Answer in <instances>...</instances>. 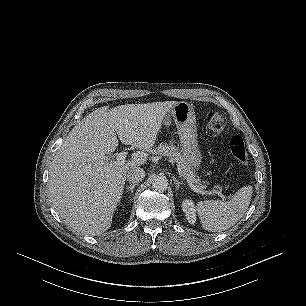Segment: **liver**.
I'll return each mask as SVG.
<instances>
[{
	"label": "liver",
	"instance_id": "1",
	"mask_svg": "<svg viewBox=\"0 0 306 306\" xmlns=\"http://www.w3.org/2000/svg\"><path fill=\"white\" fill-rule=\"evenodd\" d=\"M176 101L99 108L84 117L57 150L49 171L48 192L64 222L87 235H100L112 224L127 173L146 163L162 122ZM140 151L124 164L106 160L118 138Z\"/></svg>",
	"mask_w": 306,
	"mask_h": 306
}]
</instances>
